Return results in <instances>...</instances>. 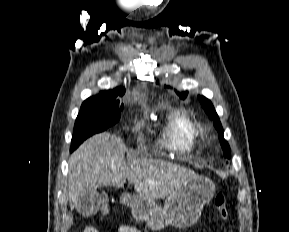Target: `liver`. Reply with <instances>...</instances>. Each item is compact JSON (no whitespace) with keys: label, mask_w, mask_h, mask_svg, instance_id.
Listing matches in <instances>:
<instances>
[{"label":"liver","mask_w":289,"mask_h":232,"mask_svg":"<svg viewBox=\"0 0 289 232\" xmlns=\"http://www.w3.org/2000/svg\"><path fill=\"white\" fill-rule=\"evenodd\" d=\"M123 141L104 132L87 139L69 158L68 198L71 209L79 197L96 192L100 186L122 188L126 180L134 184L138 196L163 199L178 191L196 173L160 159H125Z\"/></svg>","instance_id":"liver-1"}]
</instances>
